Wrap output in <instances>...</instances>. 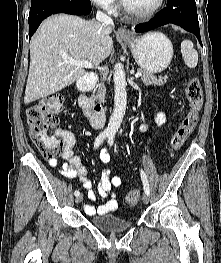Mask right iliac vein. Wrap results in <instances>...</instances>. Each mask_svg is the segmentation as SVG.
<instances>
[{
	"instance_id": "1",
	"label": "right iliac vein",
	"mask_w": 221,
	"mask_h": 263,
	"mask_svg": "<svg viewBox=\"0 0 221 263\" xmlns=\"http://www.w3.org/2000/svg\"><path fill=\"white\" fill-rule=\"evenodd\" d=\"M82 200H83V195H82V194L78 195V196L75 198V202H76L77 204H78V203H81Z\"/></svg>"
}]
</instances>
